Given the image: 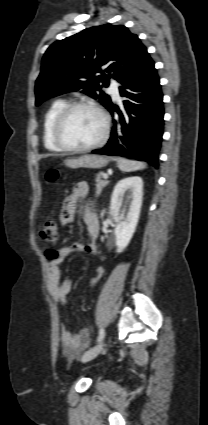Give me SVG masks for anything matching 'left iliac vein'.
<instances>
[{
	"label": "left iliac vein",
	"instance_id": "1",
	"mask_svg": "<svg viewBox=\"0 0 208 425\" xmlns=\"http://www.w3.org/2000/svg\"><path fill=\"white\" fill-rule=\"evenodd\" d=\"M103 346H104V342L100 341L96 346L92 347L91 349H89L87 352H85L82 355L81 361L88 362L94 359L102 351Z\"/></svg>",
	"mask_w": 208,
	"mask_h": 425
}]
</instances>
